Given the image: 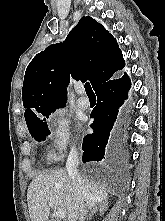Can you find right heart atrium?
I'll return each instance as SVG.
<instances>
[{"label": "right heart atrium", "instance_id": "1", "mask_svg": "<svg viewBox=\"0 0 165 221\" xmlns=\"http://www.w3.org/2000/svg\"><path fill=\"white\" fill-rule=\"evenodd\" d=\"M77 146L78 138L71 120L63 113H56L50 122L49 158L60 161Z\"/></svg>", "mask_w": 165, "mask_h": 221}]
</instances>
